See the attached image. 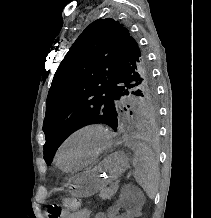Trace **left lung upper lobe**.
Masks as SVG:
<instances>
[{
    "label": "left lung upper lobe",
    "instance_id": "5c2ea615",
    "mask_svg": "<svg viewBox=\"0 0 211 218\" xmlns=\"http://www.w3.org/2000/svg\"><path fill=\"white\" fill-rule=\"evenodd\" d=\"M129 95L136 97L131 105L125 97ZM127 114L155 127L158 102L151 67L127 28L112 18L97 19L80 34L54 75L43 123L46 163L77 129L104 123L117 131Z\"/></svg>",
    "mask_w": 211,
    "mask_h": 218
}]
</instances>
